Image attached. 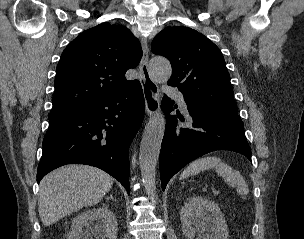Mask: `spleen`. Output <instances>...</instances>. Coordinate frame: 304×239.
Segmentation results:
<instances>
[{"label":"spleen","instance_id":"1","mask_svg":"<svg viewBox=\"0 0 304 239\" xmlns=\"http://www.w3.org/2000/svg\"><path fill=\"white\" fill-rule=\"evenodd\" d=\"M214 169L224 181L237 188V193L243 198L249 193L248 186L241 174L217 157H203L191 162L182 172L180 178L195 176L200 172Z\"/></svg>","mask_w":304,"mask_h":239}]
</instances>
